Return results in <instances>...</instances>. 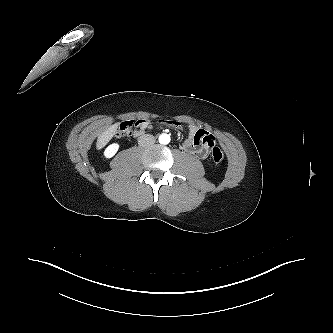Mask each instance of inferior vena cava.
Here are the masks:
<instances>
[{
	"mask_svg": "<svg viewBox=\"0 0 333 333\" xmlns=\"http://www.w3.org/2000/svg\"><path fill=\"white\" fill-rule=\"evenodd\" d=\"M155 143V137L150 134L142 135L138 138V144L141 147H148Z\"/></svg>",
	"mask_w": 333,
	"mask_h": 333,
	"instance_id": "obj_1",
	"label": "inferior vena cava"
}]
</instances>
